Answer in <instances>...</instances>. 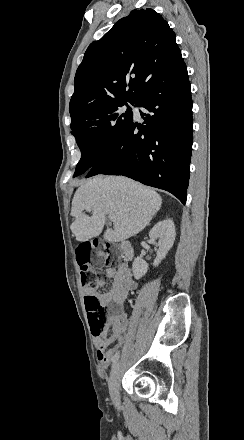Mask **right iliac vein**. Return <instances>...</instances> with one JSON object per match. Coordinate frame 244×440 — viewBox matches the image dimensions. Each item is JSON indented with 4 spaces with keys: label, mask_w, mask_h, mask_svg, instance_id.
Segmentation results:
<instances>
[{
    "label": "right iliac vein",
    "mask_w": 244,
    "mask_h": 440,
    "mask_svg": "<svg viewBox=\"0 0 244 440\" xmlns=\"http://www.w3.org/2000/svg\"><path fill=\"white\" fill-rule=\"evenodd\" d=\"M120 375V364L116 362L111 371L110 376L108 379V387H109V394L113 401L116 403L118 402V395H119V385H118V379Z\"/></svg>",
    "instance_id": "right-iliac-vein-1"
}]
</instances>
